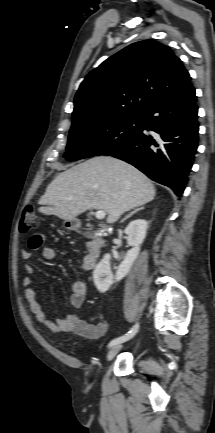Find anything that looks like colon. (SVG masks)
Segmentation results:
<instances>
[{
    "label": "colon",
    "instance_id": "obj_1",
    "mask_svg": "<svg viewBox=\"0 0 215 433\" xmlns=\"http://www.w3.org/2000/svg\"><path fill=\"white\" fill-rule=\"evenodd\" d=\"M39 219L32 205L26 206L21 214L19 229L21 233L30 232L38 227Z\"/></svg>",
    "mask_w": 215,
    "mask_h": 433
}]
</instances>
